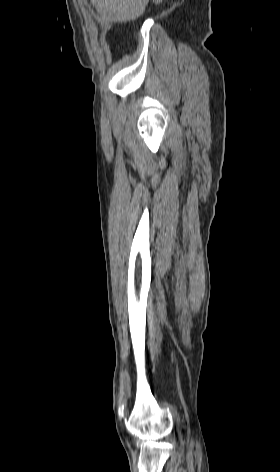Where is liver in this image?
Wrapping results in <instances>:
<instances>
[{
    "label": "liver",
    "instance_id": "1",
    "mask_svg": "<svg viewBox=\"0 0 280 472\" xmlns=\"http://www.w3.org/2000/svg\"><path fill=\"white\" fill-rule=\"evenodd\" d=\"M149 0H91L101 23L126 22L140 17Z\"/></svg>",
    "mask_w": 280,
    "mask_h": 472
}]
</instances>
